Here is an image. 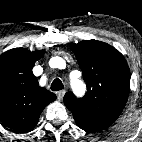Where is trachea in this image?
Masks as SVG:
<instances>
[{"mask_svg":"<svg viewBox=\"0 0 142 142\" xmlns=\"http://www.w3.org/2000/svg\"><path fill=\"white\" fill-rule=\"evenodd\" d=\"M63 88H64V85L61 82V80L58 78L54 79V81L51 84V90L59 91V90H62Z\"/></svg>","mask_w":142,"mask_h":142,"instance_id":"3493384b","label":"trachea"}]
</instances>
